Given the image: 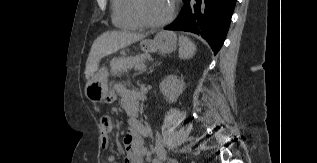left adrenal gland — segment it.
<instances>
[{
	"instance_id": "obj_1",
	"label": "left adrenal gland",
	"mask_w": 317,
	"mask_h": 163,
	"mask_svg": "<svg viewBox=\"0 0 317 163\" xmlns=\"http://www.w3.org/2000/svg\"><path fill=\"white\" fill-rule=\"evenodd\" d=\"M156 64H160V63H156ZM153 66H154V65H153ZM153 66H151V67L149 68L150 72L152 71ZM140 73H142V72H140Z\"/></svg>"
}]
</instances>
